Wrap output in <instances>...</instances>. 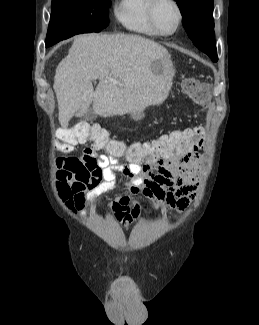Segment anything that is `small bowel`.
Instances as JSON below:
<instances>
[{
    "instance_id": "1",
    "label": "small bowel",
    "mask_w": 259,
    "mask_h": 325,
    "mask_svg": "<svg viewBox=\"0 0 259 325\" xmlns=\"http://www.w3.org/2000/svg\"><path fill=\"white\" fill-rule=\"evenodd\" d=\"M199 143L201 148L202 142ZM199 149H175L152 160L134 162L126 157L98 155L96 149L86 148L80 158L56 161L57 189L67 204L81 209L86 201L116 188L120 174L128 180L126 191L115 197L109 212L126 227L139 214L133 199L135 195L150 198L157 205L163 204L167 212L186 207L198 185L195 168Z\"/></svg>"
}]
</instances>
